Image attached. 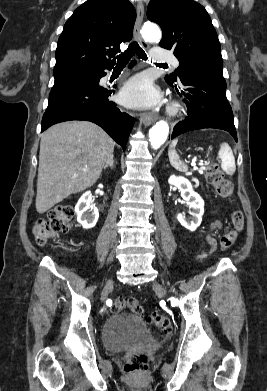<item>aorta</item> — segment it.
I'll list each match as a JSON object with an SVG mask.
<instances>
[{"label":"aorta","mask_w":267,"mask_h":391,"mask_svg":"<svg viewBox=\"0 0 267 391\" xmlns=\"http://www.w3.org/2000/svg\"><path fill=\"white\" fill-rule=\"evenodd\" d=\"M142 36L148 42L158 43L161 39V31L157 25L146 23L142 27ZM169 126L167 122L158 121L149 131V141L154 149H158L167 139Z\"/></svg>","instance_id":"762f6f07"}]
</instances>
